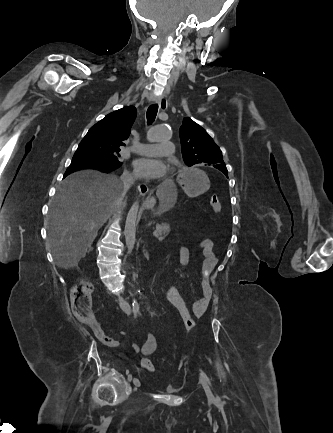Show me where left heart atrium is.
<instances>
[{"label": "left heart atrium", "mask_w": 333, "mask_h": 433, "mask_svg": "<svg viewBox=\"0 0 333 433\" xmlns=\"http://www.w3.org/2000/svg\"><path fill=\"white\" fill-rule=\"evenodd\" d=\"M133 166L136 174L146 179H158L166 173V165L152 157H140L134 160Z\"/></svg>", "instance_id": "1"}]
</instances>
